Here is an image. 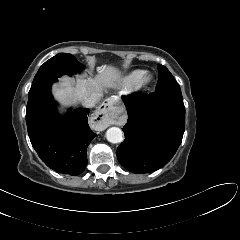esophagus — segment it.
I'll return each mask as SVG.
<instances>
[{"instance_id":"esophagus-1","label":"esophagus","mask_w":240,"mask_h":240,"mask_svg":"<svg viewBox=\"0 0 240 240\" xmlns=\"http://www.w3.org/2000/svg\"><path fill=\"white\" fill-rule=\"evenodd\" d=\"M119 104V100L115 97L106 99L95 112V118L99 119L98 124L107 128L114 123L113 115L115 112V105Z\"/></svg>"}]
</instances>
